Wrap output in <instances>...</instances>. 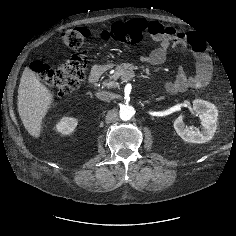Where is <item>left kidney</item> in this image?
<instances>
[{"instance_id": "left-kidney-1", "label": "left kidney", "mask_w": 236, "mask_h": 236, "mask_svg": "<svg viewBox=\"0 0 236 236\" xmlns=\"http://www.w3.org/2000/svg\"><path fill=\"white\" fill-rule=\"evenodd\" d=\"M193 110L200 117L202 130L189 128L183 122V115H179L174 121L176 133L186 142L205 143L211 140L217 129L218 110L216 106L202 99L193 101Z\"/></svg>"}]
</instances>
